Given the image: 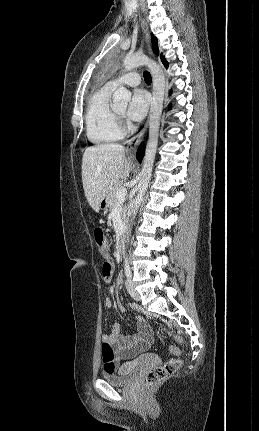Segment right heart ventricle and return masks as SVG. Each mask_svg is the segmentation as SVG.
<instances>
[{
    "label": "right heart ventricle",
    "instance_id": "e07e8e85",
    "mask_svg": "<svg viewBox=\"0 0 259 431\" xmlns=\"http://www.w3.org/2000/svg\"><path fill=\"white\" fill-rule=\"evenodd\" d=\"M113 90L114 87L106 84L97 90L88 101L85 113L86 135L93 144L111 143L123 136L115 109L110 104Z\"/></svg>",
    "mask_w": 259,
    "mask_h": 431
}]
</instances>
